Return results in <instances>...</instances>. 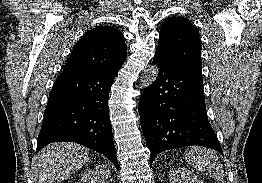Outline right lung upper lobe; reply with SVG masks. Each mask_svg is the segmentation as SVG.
<instances>
[{
	"instance_id": "obj_1",
	"label": "right lung upper lobe",
	"mask_w": 262,
	"mask_h": 183,
	"mask_svg": "<svg viewBox=\"0 0 262 183\" xmlns=\"http://www.w3.org/2000/svg\"><path fill=\"white\" fill-rule=\"evenodd\" d=\"M123 34L111 26L87 31L75 44L62 74L118 70L126 59Z\"/></svg>"
}]
</instances>
